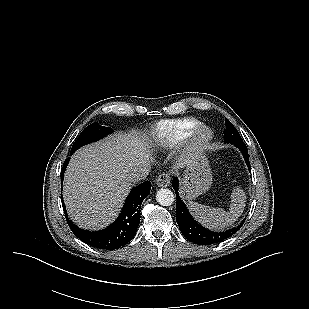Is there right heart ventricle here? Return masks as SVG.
Instances as JSON below:
<instances>
[{"label": "right heart ventricle", "mask_w": 309, "mask_h": 309, "mask_svg": "<svg viewBox=\"0 0 309 309\" xmlns=\"http://www.w3.org/2000/svg\"><path fill=\"white\" fill-rule=\"evenodd\" d=\"M200 124L193 118L162 121L154 128V142L159 146L172 147L190 137Z\"/></svg>", "instance_id": "right-heart-ventricle-1"}]
</instances>
